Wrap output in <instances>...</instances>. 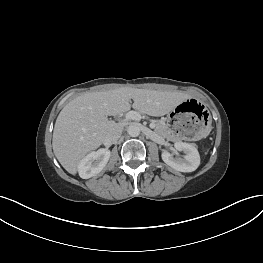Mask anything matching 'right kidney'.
<instances>
[{
  "label": "right kidney",
  "mask_w": 263,
  "mask_h": 263,
  "mask_svg": "<svg viewBox=\"0 0 263 263\" xmlns=\"http://www.w3.org/2000/svg\"><path fill=\"white\" fill-rule=\"evenodd\" d=\"M110 155V150L102 148L85 156L78 164L79 176L89 179L100 173L106 166Z\"/></svg>",
  "instance_id": "ca27d5eb"
}]
</instances>
